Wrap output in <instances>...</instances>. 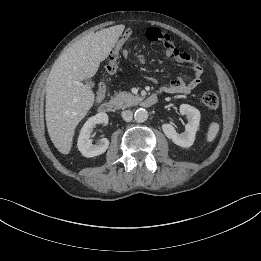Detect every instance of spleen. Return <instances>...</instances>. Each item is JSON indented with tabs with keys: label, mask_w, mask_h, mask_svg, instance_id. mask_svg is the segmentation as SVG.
Returning a JSON list of instances; mask_svg holds the SVG:
<instances>
[{
	"label": "spleen",
	"mask_w": 261,
	"mask_h": 261,
	"mask_svg": "<svg viewBox=\"0 0 261 261\" xmlns=\"http://www.w3.org/2000/svg\"><path fill=\"white\" fill-rule=\"evenodd\" d=\"M219 124L217 123V122H212L210 125H209V127H208V131H207V136H206V141L207 142H212L215 138H216V136H217V134H218V132H219Z\"/></svg>",
	"instance_id": "3e777b00"
}]
</instances>
